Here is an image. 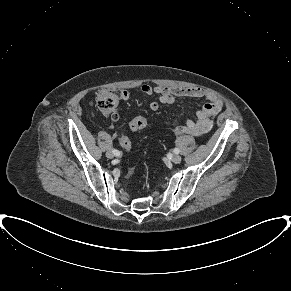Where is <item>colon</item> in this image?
Wrapping results in <instances>:
<instances>
[{
  "label": "colon",
  "instance_id": "obj_1",
  "mask_svg": "<svg viewBox=\"0 0 291 291\" xmlns=\"http://www.w3.org/2000/svg\"><path fill=\"white\" fill-rule=\"evenodd\" d=\"M121 98V91L117 90H104L101 91L97 96V106L103 111L107 112L118 105ZM130 128L132 130H140L147 126V120L144 117L138 116L130 122ZM120 145L124 152H128L131 149V142L127 137H122Z\"/></svg>",
  "mask_w": 291,
  "mask_h": 291
}]
</instances>
